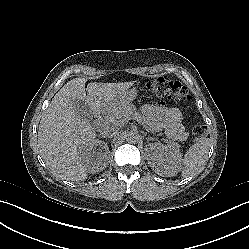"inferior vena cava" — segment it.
<instances>
[{"label": "inferior vena cava", "instance_id": "inferior-vena-cava-1", "mask_svg": "<svg viewBox=\"0 0 249 249\" xmlns=\"http://www.w3.org/2000/svg\"><path fill=\"white\" fill-rule=\"evenodd\" d=\"M117 128L115 125H112L111 127H109L107 130L104 131V136H113L115 135V133L117 132ZM97 143V142H96Z\"/></svg>", "mask_w": 249, "mask_h": 249}]
</instances>
